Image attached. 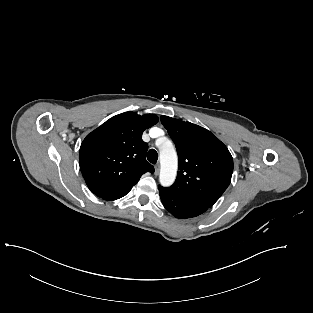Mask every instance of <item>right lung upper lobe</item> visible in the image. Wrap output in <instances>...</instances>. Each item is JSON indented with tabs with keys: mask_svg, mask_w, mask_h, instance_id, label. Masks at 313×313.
Masks as SVG:
<instances>
[{
	"mask_svg": "<svg viewBox=\"0 0 313 313\" xmlns=\"http://www.w3.org/2000/svg\"><path fill=\"white\" fill-rule=\"evenodd\" d=\"M158 122L155 114L116 115L83 140L79 165L88 188L98 197L133 187L154 167L146 159L148 144L142 133Z\"/></svg>",
	"mask_w": 313,
	"mask_h": 313,
	"instance_id": "obj_1",
	"label": "right lung upper lobe"
}]
</instances>
